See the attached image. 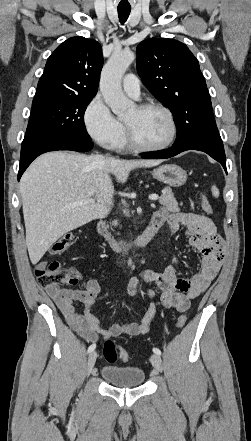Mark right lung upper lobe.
<instances>
[{
    "label": "right lung upper lobe",
    "mask_w": 251,
    "mask_h": 441,
    "mask_svg": "<svg viewBox=\"0 0 251 441\" xmlns=\"http://www.w3.org/2000/svg\"><path fill=\"white\" fill-rule=\"evenodd\" d=\"M103 66L101 45L81 36L64 41L48 58L33 101L94 97Z\"/></svg>",
    "instance_id": "cb5924a9"
}]
</instances>
